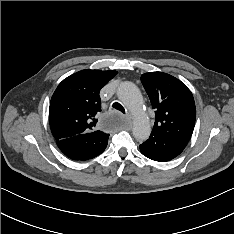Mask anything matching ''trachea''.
<instances>
[{"label": "trachea", "mask_w": 234, "mask_h": 234, "mask_svg": "<svg viewBox=\"0 0 234 234\" xmlns=\"http://www.w3.org/2000/svg\"><path fill=\"white\" fill-rule=\"evenodd\" d=\"M112 107L114 109H116V110H118V111H120V112H122V113L125 114V109H124V107L120 103L115 102V103H113Z\"/></svg>", "instance_id": "obj_1"}]
</instances>
